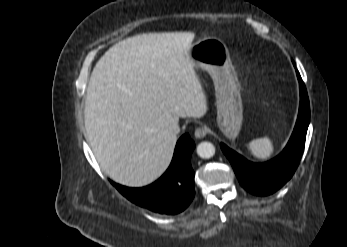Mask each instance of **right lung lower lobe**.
<instances>
[{
  "mask_svg": "<svg viewBox=\"0 0 347 247\" xmlns=\"http://www.w3.org/2000/svg\"><path fill=\"white\" fill-rule=\"evenodd\" d=\"M195 144L189 134L177 142L167 171L153 184L129 188L113 182L116 189L131 202L161 214H177L186 209L194 198V172L191 155Z\"/></svg>",
  "mask_w": 347,
  "mask_h": 247,
  "instance_id": "1",
  "label": "right lung lower lobe"
}]
</instances>
